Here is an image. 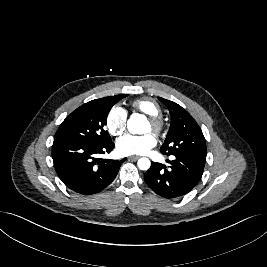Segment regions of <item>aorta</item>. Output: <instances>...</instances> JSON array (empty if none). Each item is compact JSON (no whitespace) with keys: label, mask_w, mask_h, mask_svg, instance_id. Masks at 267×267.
Here are the masks:
<instances>
[{"label":"aorta","mask_w":267,"mask_h":267,"mask_svg":"<svg viewBox=\"0 0 267 267\" xmlns=\"http://www.w3.org/2000/svg\"><path fill=\"white\" fill-rule=\"evenodd\" d=\"M144 123L145 118L140 114H132L131 117L127 121L128 131L132 134H140L144 132ZM138 168L140 170H148L151 166V162L148 158H140L137 162Z\"/></svg>","instance_id":"aorta-1"}]
</instances>
